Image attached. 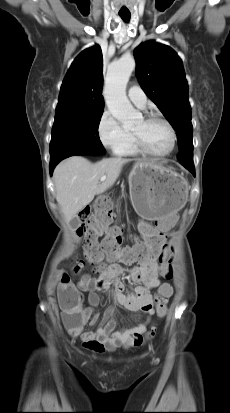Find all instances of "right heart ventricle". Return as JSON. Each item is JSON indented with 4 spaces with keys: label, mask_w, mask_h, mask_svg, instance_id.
<instances>
[{
    "label": "right heart ventricle",
    "mask_w": 230,
    "mask_h": 413,
    "mask_svg": "<svg viewBox=\"0 0 230 413\" xmlns=\"http://www.w3.org/2000/svg\"><path fill=\"white\" fill-rule=\"evenodd\" d=\"M140 152V148L138 147L135 138L132 135L131 140L128 144L118 153L123 156H134Z\"/></svg>",
    "instance_id": "right-heart-ventricle-1"
}]
</instances>
